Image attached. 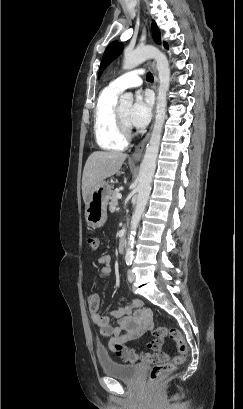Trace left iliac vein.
<instances>
[{
    "instance_id": "left-iliac-vein-1",
    "label": "left iliac vein",
    "mask_w": 243,
    "mask_h": 409,
    "mask_svg": "<svg viewBox=\"0 0 243 409\" xmlns=\"http://www.w3.org/2000/svg\"><path fill=\"white\" fill-rule=\"evenodd\" d=\"M127 279L129 282H133L135 280V274L132 272L131 269L127 271Z\"/></svg>"
}]
</instances>
